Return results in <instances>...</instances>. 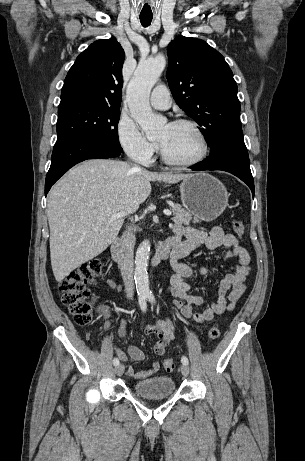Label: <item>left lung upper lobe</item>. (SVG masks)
Returning <instances> with one entry per match:
<instances>
[{
    "label": "left lung upper lobe",
    "mask_w": 305,
    "mask_h": 461,
    "mask_svg": "<svg viewBox=\"0 0 305 461\" xmlns=\"http://www.w3.org/2000/svg\"><path fill=\"white\" fill-rule=\"evenodd\" d=\"M167 79L178 106L194 119L213 157L229 130L241 128L237 84L224 57L205 41L180 36L167 47Z\"/></svg>",
    "instance_id": "left-lung-upper-lobe-1"
}]
</instances>
